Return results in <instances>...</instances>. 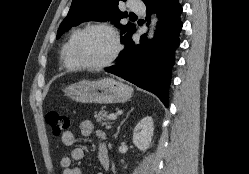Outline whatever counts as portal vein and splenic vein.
I'll return each instance as SVG.
<instances>
[{"mask_svg":"<svg viewBox=\"0 0 249 174\" xmlns=\"http://www.w3.org/2000/svg\"><path fill=\"white\" fill-rule=\"evenodd\" d=\"M109 119H110V120H116V119H117V115L114 114V113H111V114L109 115Z\"/></svg>","mask_w":249,"mask_h":174,"instance_id":"1","label":"portal vein and splenic vein"}]
</instances>
